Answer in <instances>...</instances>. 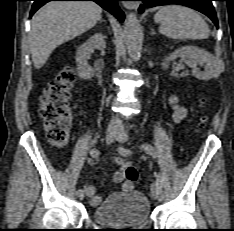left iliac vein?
<instances>
[{
    "label": "left iliac vein",
    "mask_w": 234,
    "mask_h": 231,
    "mask_svg": "<svg viewBox=\"0 0 234 231\" xmlns=\"http://www.w3.org/2000/svg\"><path fill=\"white\" fill-rule=\"evenodd\" d=\"M117 140L120 143H125L128 140V137H127V135L124 132H121V133H119V136H118ZM151 196L153 198H155V199L158 198V184H157L156 181H154L151 184Z\"/></svg>",
    "instance_id": "1"
}]
</instances>
